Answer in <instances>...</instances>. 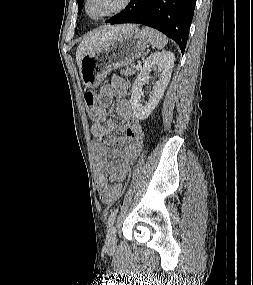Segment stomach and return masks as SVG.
I'll return each instance as SVG.
<instances>
[{"label":"stomach","instance_id":"obj_1","mask_svg":"<svg viewBox=\"0 0 253 285\" xmlns=\"http://www.w3.org/2000/svg\"><path fill=\"white\" fill-rule=\"evenodd\" d=\"M149 42L143 31L135 27L86 54L79 65V74L85 88L99 86L110 71L128 66L139 59Z\"/></svg>","mask_w":253,"mask_h":285}]
</instances>
